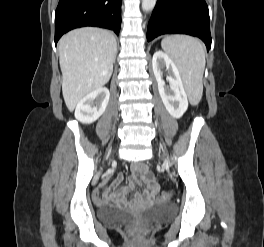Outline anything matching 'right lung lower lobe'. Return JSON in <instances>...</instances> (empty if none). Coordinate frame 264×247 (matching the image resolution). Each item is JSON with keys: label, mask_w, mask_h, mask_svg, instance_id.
Masks as SVG:
<instances>
[{"label": "right lung lower lobe", "mask_w": 264, "mask_h": 247, "mask_svg": "<svg viewBox=\"0 0 264 247\" xmlns=\"http://www.w3.org/2000/svg\"><path fill=\"white\" fill-rule=\"evenodd\" d=\"M122 0H59L55 11V44L60 37L74 29L96 26L113 30L121 27Z\"/></svg>", "instance_id": "right-lung-lower-lobe-1"}]
</instances>
